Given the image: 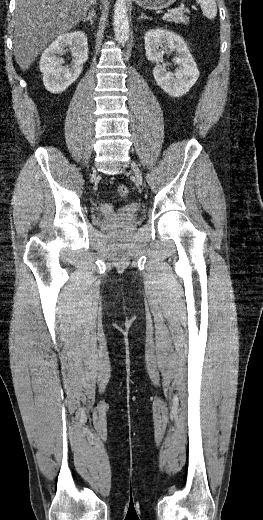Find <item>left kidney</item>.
Returning a JSON list of instances; mask_svg holds the SVG:
<instances>
[{
	"label": "left kidney",
	"mask_w": 263,
	"mask_h": 520,
	"mask_svg": "<svg viewBox=\"0 0 263 520\" xmlns=\"http://www.w3.org/2000/svg\"><path fill=\"white\" fill-rule=\"evenodd\" d=\"M144 38L147 59L156 63L153 69L156 83L170 96L186 94L197 81L199 71L182 37L168 30L152 29L145 33ZM168 49L177 52L175 73L167 72V64L163 63V53Z\"/></svg>",
	"instance_id": "obj_1"
}]
</instances>
